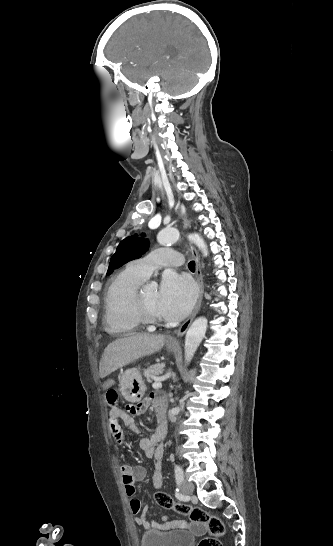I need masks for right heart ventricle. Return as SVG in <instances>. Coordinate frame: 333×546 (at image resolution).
<instances>
[{"instance_id":"obj_1","label":"right heart ventricle","mask_w":333,"mask_h":546,"mask_svg":"<svg viewBox=\"0 0 333 546\" xmlns=\"http://www.w3.org/2000/svg\"><path fill=\"white\" fill-rule=\"evenodd\" d=\"M146 279L131 265L110 281L104 299V321L112 334H128L140 330L142 322L132 306L136 290Z\"/></svg>"}]
</instances>
